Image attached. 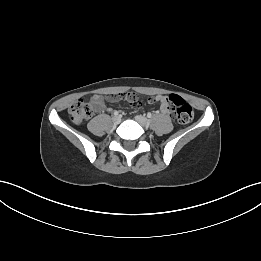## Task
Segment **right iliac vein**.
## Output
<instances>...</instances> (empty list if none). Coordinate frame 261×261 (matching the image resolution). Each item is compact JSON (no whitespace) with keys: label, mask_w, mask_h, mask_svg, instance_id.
I'll list each match as a JSON object with an SVG mask.
<instances>
[{"label":"right iliac vein","mask_w":261,"mask_h":261,"mask_svg":"<svg viewBox=\"0 0 261 261\" xmlns=\"http://www.w3.org/2000/svg\"><path fill=\"white\" fill-rule=\"evenodd\" d=\"M112 121L114 124L118 125L121 122V117L120 116H114L112 118Z\"/></svg>","instance_id":"1"}]
</instances>
